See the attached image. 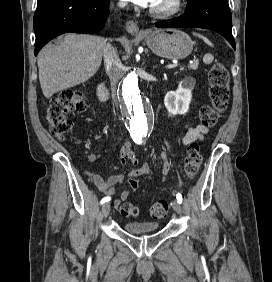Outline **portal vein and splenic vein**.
<instances>
[{"instance_id": "portal-vein-and-splenic-vein-1", "label": "portal vein and splenic vein", "mask_w": 272, "mask_h": 282, "mask_svg": "<svg viewBox=\"0 0 272 282\" xmlns=\"http://www.w3.org/2000/svg\"><path fill=\"white\" fill-rule=\"evenodd\" d=\"M179 64L175 63V64H169V65H166V69H173V68H176Z\"/></svg>"}]
</instances>
